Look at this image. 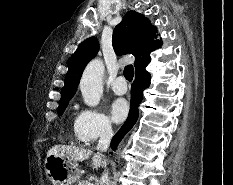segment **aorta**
Returning a JSON list of instances; mask_svg holds the SVG:
<instances>
[{
    "instance_id": "aorta-1",
    "label": "aorta",
    "mask_w": 233,
    "mask_h": 185,
    "mask_svg": "<svg viewBox=\"0 0 233 185\" xmlns=\"http://www.w3.org/2000/svg\"><path fill=\"white\" fill-rule=\"evenodd\" d=\"M103 75L104 64L99 59L91 61L82 74L80 90L85 104L90 107H95L100 102L103 94Z\"/></svg>"
}]
</instances>
